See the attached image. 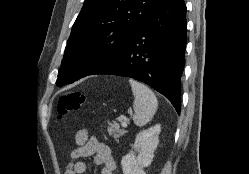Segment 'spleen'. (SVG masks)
<instances>
[{"label": "spleen", "instance_id": "obj_1", "mask_svg": "<svg viewBox=\"0 0 249 174\" xmlns=\"http://www.w3.org/2000/svg\"><path fill=\"white\" fill-rule=\"evenodd\" d=\"M134 95L133 121L137 126H144L154 116L158 101L151 89L135 80H129Z\"/></svg>", "mask_w": 249, "mask_h": 174}]
</instances>
